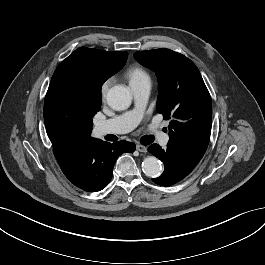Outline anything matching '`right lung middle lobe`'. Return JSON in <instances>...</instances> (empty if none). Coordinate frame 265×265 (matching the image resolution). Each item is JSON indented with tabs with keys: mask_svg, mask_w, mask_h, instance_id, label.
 <instances>
[{
	"mask_svg": "<svg viewBox=\"0 0 265 265\" xmlns=\"http://www.w3.org/2000/svg\"><path fill=\"white\" fill-rule=\"evenodd\" d=\"M75 51L55 70L44 103L47 134L64 140L91 132L92 118L100 111L101 86L113 69L87 48Z\"/></svg>",
	"mask_w": 265,
	"mask_h": 265,
	"instance_id": "dd1d6c3e",
	"label": "right lung middle lobe"
}]
</instances>
